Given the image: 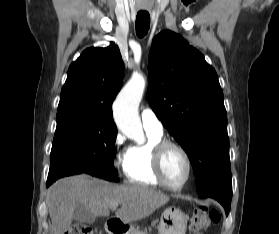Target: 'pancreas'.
<instances>
[{
  "instance_id": "1",
  "label": "pancreas",
  "mask_w": 279,
  "mask_h": 234,
  "mask_svg": "<svg viewBox=\"0 0 279 234\" xmlns=\"http://www.w3.org/2000/svg\"><path fill=\"white\" fill-rule=\"evenodd\" d=\"M131 234H146V233L140 230H134Z\"/></svg>"
}]
</instances>
